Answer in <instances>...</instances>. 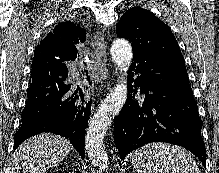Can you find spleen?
<instances>
[{
  "instance_id": "obj_1",
  "label": "spleen",
  "mask_w": 219,
  "mask_h": 173,
  "mask_svg": "<svg viewBox=\"0 0 219 173\" xmlns=\"http://www.w3.org/2000/svg\"><path fill=\"white\" fill-rule=\"evenodd\" d=\"M131 164L137 173H201L184 149L161 142L137 149Z\"/></svg>"
}]
</instances>
